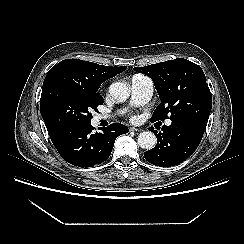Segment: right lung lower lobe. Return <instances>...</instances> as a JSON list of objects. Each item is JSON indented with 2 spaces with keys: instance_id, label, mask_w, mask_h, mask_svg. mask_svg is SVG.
<instances>
[{
  "instance_id": "obj_1",
  "label": "right lung lower lobe",
  "mask_w": 244,
  "mask_h": 244,
  "mask_svg": "<svg viewBox=\"0 0 244 244\" xmlns=\"http://www.w3.org/2000/svg\"><path fill=\"white\" fill-rule=\"evenodd\" d=\"M93 130L91 123L75 124L50 131L49 135L64 160L87 168L104 162L110 156L116 138L129 131L118 123L109 125L100 133Z\"/></svg>"
}]
</instances>
